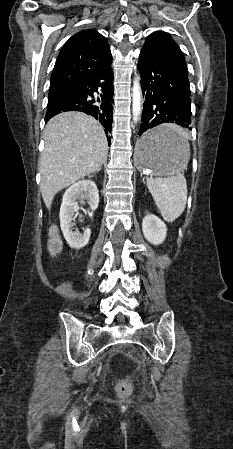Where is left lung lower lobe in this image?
<instances>
[{"mask_svg":"<svg viewBox=\"0 0 233 449\" xmlns=\"http://www.w3.org/2000/svg\"><path fill=\"white\" fill-rule=\"evenodd\" d=\"M138 68L144 98L140 149L155 151L178 146L182 138L174 134H152L162 123H176L191 130V100L188 74L163 62L142 48Z\"/></svg>","mask_w":233,"mask_h":449,"instance_id":"obj_1","label":"left lung lower lobe"}]
</instances>
